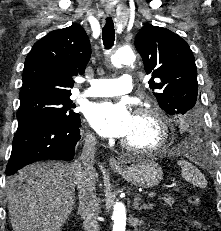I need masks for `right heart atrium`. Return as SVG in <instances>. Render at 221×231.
Returning <instances> with one entry per match:
<instances>
[{
  "instance_id": "obj_1",
  "label": "right heart atrium",
  "mask_w": 221,
  "mask_h": 231,
  "mask_svg": "<svg viewBox=\"0 0 221 231\" xmlns=\"http://www.w3.org/2000/svg\"><path fill=\"white\" fill-rule=\"evenodd\" d=\"M89 138H90V139L92 138L91 135H89Z\"/></svg>"
}]
</instances>
